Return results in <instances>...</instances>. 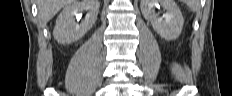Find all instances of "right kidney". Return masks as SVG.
Returning <instances> with one entry per match:
<instances>
[{
  "label": "right kidney",
  "mask_w": 232,
  "mask_h": 96,
  "mask_svg": "<svg viewBox=\"0 0 232 96\" xmlns=\"http://www.w3.org/2000/svg\"><path fill=\"white\" fill-rule=\"evenodd\" d=\"M99 0H73L59 14L53 31L54 38L61 44L72 43L82 38L94 25L99 12ZM87 11L85 19L80 23L82 12Z\"/></svg>",
  "instance_id": "1"
}]
</instances>
